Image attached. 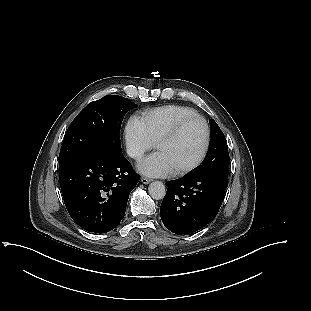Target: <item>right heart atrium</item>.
<instances>
[{
    "label": "right heart atrium",
    "instance_id": "obj_1",
    "mask_svg": "<svg viewBox=\"0 0 311 311\" xmlns=\"http://www.w3.org/2000/svg\"><path fill=\"white\" fill-rule=\"evenodd\" d=\"M124 139L128 155L136 161L142 159L154 145L141 119L134 116L125 124Z\"/></svg>",
    "mask_w": 311,
    "mask_h": 311
}]
</instances>
